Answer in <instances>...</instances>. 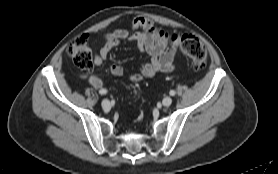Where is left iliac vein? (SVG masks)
I'll list each match as a JSON object with an SVG mask.
<instances>
[{
  "label": "left iliac vein",
  "mask_w": 278,
  "mask_h": 174,
  "mask_svg": "<svg viewBox=\"0 0 278 174\" xmlns=\"http://www.w3.org/2000/svg\"><path fill=\"white\" fill-rule=\"evenodd\" d=\"M171 103H172V98L170 96H166L162 101V104L165 107H169Z\"/></svg>",
  "instance_id": "1"
}]
</instances>
